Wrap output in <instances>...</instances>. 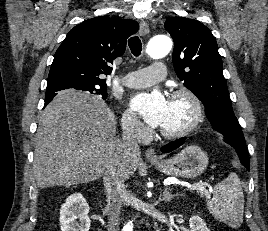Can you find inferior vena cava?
<instances>
[{
    "label": "inferior vena cava",
    "mask_w": 268,
    "mask_h": 231,
    "mask_svg": "<svg viewBox=\"0 0 268 231\" xmlns=\"http://www.w3.org/2000/svg\"><path fill=\"white\" fill-rule=\"evenodd\" d=\"M123 150L132 159L139 156L138 129L133 125L125 128L122 135ZM125 170L114 160L104 171V187L106 190V212L108 231H119V219L122 207V196L125 192Z\"/></svg>",
    "instance_id": "602c4592"
}]
</instances>
